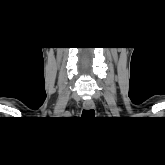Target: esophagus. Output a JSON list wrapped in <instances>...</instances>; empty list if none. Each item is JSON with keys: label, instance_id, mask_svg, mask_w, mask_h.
<instances>
[{"label": "esophagus", "instance_id": "esophagus-1", "mask_svg": "<svg viewBox=\"0 0 165 165\" xmlns=\"http://www.w3.org/2000/svg\"><path fill=\"white\" fill-rule=\"evenodd\" d=\"M83 107L87 110H90L95 107V104H94L93 100H85L83 102Z\"/></svg>", "mask_w": 165, "mask_h": 165}]
</instances>
